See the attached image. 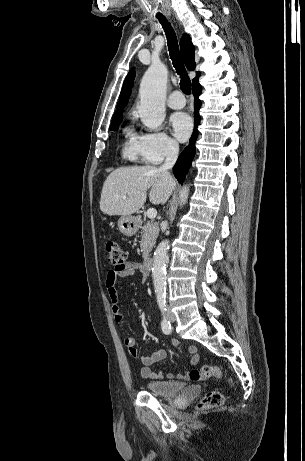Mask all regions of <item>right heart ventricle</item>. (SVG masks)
Returning <instances> with one entry per match:
<instances>
[{
  "label": "right heart ventricle",
  "mask_w": 305,
  "mask_h": 461,
  "mask_svg": "<svg viewBox=\"0 0 305 461\" xmlns=\"http://www.w3.org/2000/svg\"><path fill=\"white\" fill-rule=\"evenodd\" d=\"M126 142L123 146V155L131 161H138L140 158L137 135L129 128L125 130Z\"/></svg>",
  "instance_id": "obj_1"
}]
</instances>
